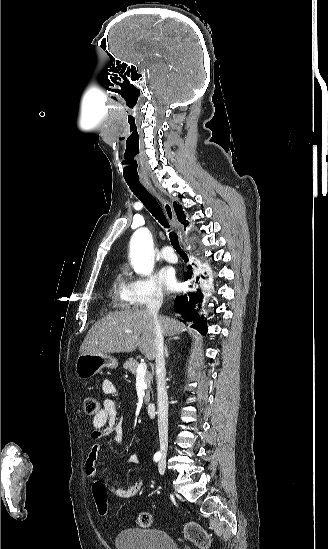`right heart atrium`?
Returning <instances> with one entry per match:
<instances>
[{
	"label": "right heart atrium",
	"mask_w": 328,
	"mask_h": 549,
	"mask_svg": "<svg viewBox=\"0 0 328 549\" xmlns=\"http://www.w3.org/2000/svg\"><path fill=\"white\" fill-rule=\"evenodd\" d=\"M130 288L140 303H162L164 295L154 273L132 277Z\"/></svg>",
	"instance_id": "1"
}]
</instances>
